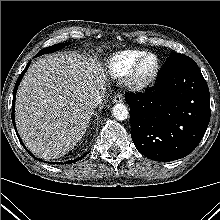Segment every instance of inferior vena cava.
<instances>
[{
    "instance_id": "1",
    "label": "inferior vena cava",
    "mask_w": 220,
    "mask_h": 220,
    "mask_svg": "<svg viewBox=\"0 0 220 220\" xmlns=\"http://www.w3.org/2000/svg\"><path fill=\"white\" fill-rule=\"evenodd\" d=\"M104 97V92L95 91L90 95L89 104L95 108L102 104Z\"/></svg>"
}]
</instances>
